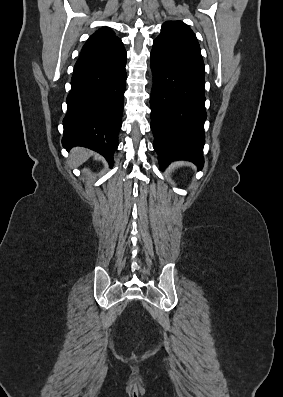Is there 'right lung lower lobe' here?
<instances>
[{"label": "right lung lower lobe", "mask_w": 283, "mask_h": 397, "mask_svg": "<svg viewBox=\"0 0 283 397\" xmlns=\"http://www.w3.org/2000/svg\"><path fill=\"white\" fill-rule=\"evenodd\" d=\"M125 66L126 57L111 64L74 71L63 120L65 149L83 146L97 151L113 165L123 113Z\"/></svg>", "instance_id": "98d812e1"}]
</instances>
